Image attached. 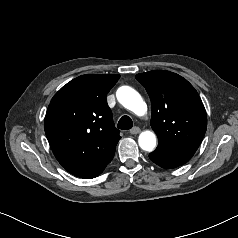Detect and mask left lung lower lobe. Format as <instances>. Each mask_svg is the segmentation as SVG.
I'll list each match as a JSON object with an SVG mask.
<instances>
[{"label":"left lung lower lobe","instance_id":"obj_1","mask_svg":"<svg viewBox=\"0 0 238 238\" xmlns=\"http://www.w3.org/2000/svg\"><path fill=\"white\" fill-rule=\"evenodd\" d=\"M192 156V154L171 151L160 145H158L154 152L149 154L151 161L165 169H172L181 166L187 163Z\"/></svg>","mask_w":238,"mask_h":238}]
</instances>
